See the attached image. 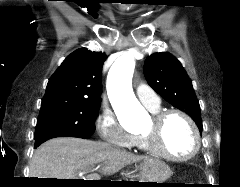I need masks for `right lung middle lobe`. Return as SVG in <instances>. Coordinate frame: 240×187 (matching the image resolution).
Returning a JSON list of instances; mask_svg holds the SVG:
<instances>
[{
	"label": "right lung middle lobe",
	"mask_w": 240,
	"mask_h": 187,
	"mask_svg": "<svg viewBox=\"0 0 240 187\" xmlns=\"http://www.w3.org/2000/svg\"><path fill=\"white\" fill-rule=\"evenodd\" d=\"M100 102L58 103L41 106L35 139L50 134H66L88 139L95 130Z\"/></svg>",
	"instance_id": "right-lung-middle-lobe-1"
}]
</instances>
